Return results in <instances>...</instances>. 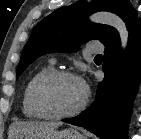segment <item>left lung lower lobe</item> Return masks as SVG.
<instances>
[{
  "mask_svg": "<svg viewBox=\"0 0 141 139\" xmlns=\"http://www.w3.org/2000/svg\"><path fill=\"white\" fill-rule=\"evenodd\" d=\"M128 46L120 52L119 37L105 44L103 72L95 101L79 116L64 122L84 127L103 139H127V128L141 80V19L129 29Z\"/></svg>",
  "mask_w": 141,
  "mask_h": 139,
  "instance_id": "left-lung-lower-lobe-1",
  "label": "left lung lower lobe"
}]
</instances>
